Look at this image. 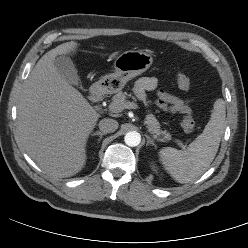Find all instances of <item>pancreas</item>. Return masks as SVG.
<instances>
[{
    "instance_id": "obj_1",
    "label": "pancreas",
    "mask_w": 248,
    "mask_h": 248,
    "mask_svg": "<svg viewBox=\"0 0 248 248\" xmlns=\"http://www.w3.org/2000/svg\"><path fill=\"white\" fill-rule=\"evenodd\" d=\"M127 97H132L135 99L131 94H128L127 92H118L116 95L112 98V104H115L116 106L123 108L124 104L128 102L126 99ZM144 123L146 124L148 131L152 134V136L160 141H169L171 140V135L167 133L166 131H162L160 129V123L157 121L156 117L152 113H148L146 115Z\"/></svg>"
}]
</instances>
